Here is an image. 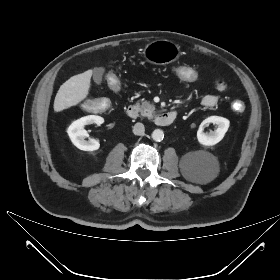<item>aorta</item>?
<instances>
[{
    "label": "aorta",
    "mask_w": 280,
    "mask_h": 280,
    "mask_svg": "<svg viewBox=\"0 0 280 280\" xmlns=\"http://www.w3.org/2000/svg\"><path fill=\"white\" fill-rule=\"evenodd\" d=\"M151 136H152V139H153L154 141L160 142V141H162L163 138H164V133H163V131H162L161 129H155V130L152 132Z\"/></svg>",
    "instance_id": "1"
}]
</instances>
